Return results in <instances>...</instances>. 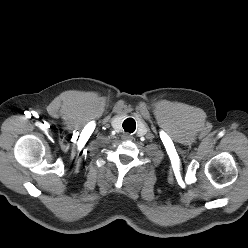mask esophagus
Segmentation results:
<instances>
[{
    "mask_svg": "<svg viewBox=\"0 0 248 248\" xmlns=\"http://www.w3.org/2000/svg\"><path fill=\"white\" fill-rule=\"evenodd\" d=\"M131 135L130 134H124L123 135V139H131Z\"/></svg>",
    "mask_w": 248,
    "mask_h": 248,
    "instance_id": "1",
    "label": "esophagus"
}]
</instances>
